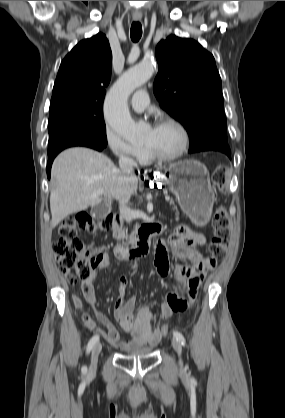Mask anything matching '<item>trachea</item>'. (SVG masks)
<instances>
[{"mask_svg": "<svg viewBox=\"0 0 285 418\" xmlns=\"http://www.w3.org/2000/svg\"><path fill=\"white\" fill-rule=\"evenodd\" d=\"M130 35H131V39L134 42L139 41V39L142 36V26H141L140 22H133L132 23Z\"/></svg>", "mask_w": 285, "mask_h": 418, "instance_id": "3493384b", "label": "trachea"}]
</instances>
